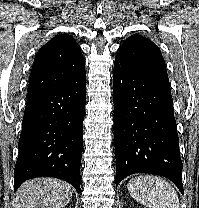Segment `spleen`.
Segmentation results:
<instances>
[{
    "label": "spleen",
    "mask_w": 199,
    "mask_h": 208,
    "mask_svg": "<svg viewBox=\"0 0 199 208\" xmlns=\"http://www.w3.org/2000/svg\"><path fill=\"white\" fill-rule=\"evenodd\" d=\"M127 189L137 202L149 208H180L176 191L160 177L138 176L129 181Z\"/></svg>",
    "instance_id": "spleen-1"
}]
</instances>
